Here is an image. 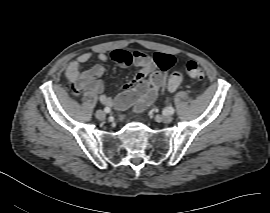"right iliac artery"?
<instances>
[{
	"mask_svg": "<svg viewBox=\"0 0 270 213\" xmlns=\"http://www.w3.org/2000/svg\"><path fill=\"white\" fill-rule=\"evenodd\" d=\"M110 111H111V109H110L109 107H105V108H104V112H105V113H109Z\"/></svg>",
	"mask_w": 270,
	"mask_h": 213,
	"instance_id": "obj_1",
	"label": "right iliac artery"
}]
</instances>
